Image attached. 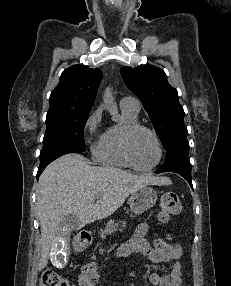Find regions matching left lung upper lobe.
Returning a JSON list of instances; mask_svg holds the SVG:
<instances>
[{
  "instance_id": "5c2ea615",
  "label": "left lung upper lobe",
  "mask_w": 231,
  "mask_h": 286,
  "mask_svg": "<svg viewBox=\"0 0 231 286\" xmlns=\"http://www.w3.org/2000/svg\"><path fill=\"white\" fill-rule=\"evenodd\" d=\"M120 71L128 88L141 100L165 149L176 140L186 139L184 110L165 72L152 65L123 67Z\"/></svg>"
}]
</instances>
